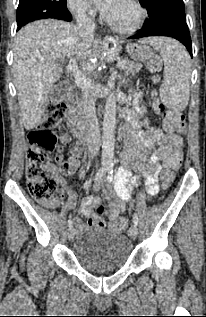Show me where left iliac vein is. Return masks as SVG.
Returning a JSON list of instances; mask_svg holds the SVG:
<instances>
[{"instance_id": "left-iliac-vein-1", "label": "left iliac vein", "mask_w": 206, "mask_h": 317, "mask_svg": "<svg viewBox=\"0 0 206 317\" xmlns=\"http://www.w3.org/2000/svg\"><path fill=\"white\" fill-rule=\"evenodd\" d=\"M130 237L134 240L138 237V227L135 224L130 229Z\"/></svg>"}]
</instances>
